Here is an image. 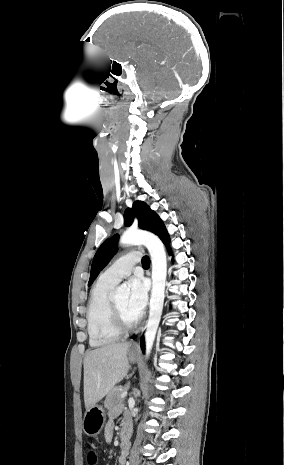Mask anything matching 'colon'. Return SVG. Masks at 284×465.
Here are the masks:
<instances>
[{
  "label": "colon",
  "instance_id": "1",
  "mask_svg": "<svg viewBox=\"0 0 284 465\" xmlns=\"http://www.w3.org/2000/svg\"><path fill=\"white\" fill-rule=\"evenodd\" d=\"M89 463H90L91 465H96V464L98 463V458H97L96 456H91V457L89 458Z\"/></svg>",
  "mask_w": 284,
  "mask_h": 465
}]
</instances>
